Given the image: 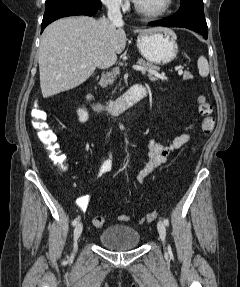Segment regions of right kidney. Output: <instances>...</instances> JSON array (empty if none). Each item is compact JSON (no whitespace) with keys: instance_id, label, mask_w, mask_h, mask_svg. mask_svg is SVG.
Masks as SVG:
<instances>
[{"instance_id":"obj_1","label":"right kidney","mask_w":240,"mask_h":287,"mask_svg":"<svg viewBox=\"0 0 240 287\" xmlns=\"http://www.w3.org/2000/svg\"><path fill=\"white\" fill-rule=\"evenodd\" d=\"M78 116H79V121L84 123L88 120V112L84 109H79L77 111Z\"/></svg>"}]
</instances>
